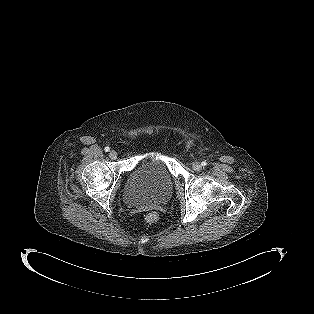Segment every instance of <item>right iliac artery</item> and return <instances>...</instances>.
I'll return each instance as SVG.
<instances>
[{
  "mask_svg": "<svg viewBox=\"0 0 314 314\" xmlns=\"http://www.w3.org/2000/svg\"><path fill=\"white\" fill-rule=\"evenodd\" d=\"M105 152H109L110 151V148L107 146V147H105Z\"/></svg>",
  "mask_w": 314,
  "mask_h": 314,
  "instance_id": "82829eb1",
  "label": "right iliac artery"
}]
</instances>
